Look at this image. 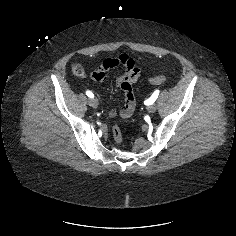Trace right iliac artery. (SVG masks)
Returning <instances> with one entry per match:
<instances>
[{
	"label": "right iliac artery",
	"mask_w": 236,
	"mask_h": 236,
	"mask_svg": "<svg viewBox=\"0 0 236 236\" xmlns=\"http://www.w3.org/2000/svg\"><path fill=\"white\" fill-rule=\"evenodd\" d=\"M86 95L90 98L94 97V94L91 91H86Z\"/></svg>",
	"instance_id": "82829eb1"
}]
</instances>
